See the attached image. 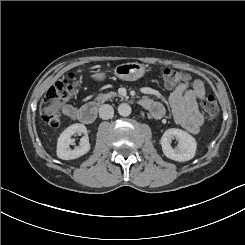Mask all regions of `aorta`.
<instances>
[{"mask_svg": "<svg viewBox=\"0 0 245 245\" xmlns=\"http://www.w3.org/2000/svg\"><path fill=\"white\" fill-rule=\"evenodd\" d=\"M132 112V109H131V106L127 103H122L118 106V113L121 115V116H129Z\"/></svg>", "mask_w": 245, "mask_h": 245, "instance_id": "aorta-1", "label": "aorta"}]
</instances>
